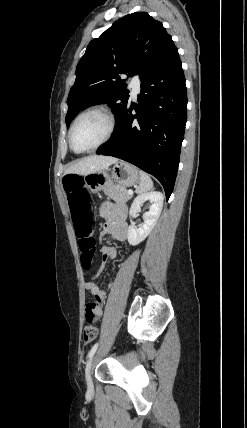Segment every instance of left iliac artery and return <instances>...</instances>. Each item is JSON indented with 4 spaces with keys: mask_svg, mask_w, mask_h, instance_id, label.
Here are the masks:
<instances>
[{
    "mask_svg": "<svg viewBox=\"0 0 247 428\" xmlns=\"http://www.w3.org/2000/svg\"><path fill=\"white\" fill-rule=\"evenodd\" d=\"M97 348H98V343H95L88 353V358H91L95 354Z\"/></svg>",
    "mask_w": 247,
    "mask_h": 428,
    "instance_id": "obj_1",
    "label": "left iliac artery"
}]
</instances>
